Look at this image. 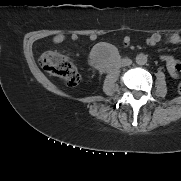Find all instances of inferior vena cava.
Returning a JSON list of instances; mask_svg holds the SVG:
<instances>
[{"label":"inferior vena cava","instance_id":"1","mask_svg":"<svg viewBox=\"0 0 181 181\" xmlns=\"http://www.w3.org/2000/svg\"><path fill=\"white\" fill-rule=\"evenodd\" d=\"M132 64V60L129 58L122 59L121 66H129Z\"/></svg>","mask_w":181,"mask_h":181}]
</instances>
